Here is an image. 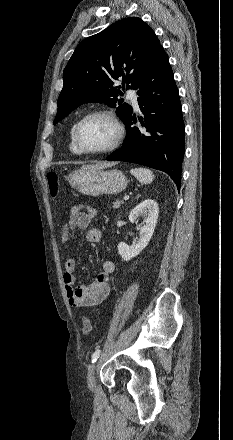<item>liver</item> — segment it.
<instances>
[{"mask_svg":"<svg viewBox=\"0 0 233 440\" xmlns=\"http://www.w3.org/2000/svg\"><path fill=\"white\" fill-rule=\"evenodd\" d=\"M114 164L115 163H99V164H96V165H91L90 167L98 168V169H103V168H106V167H111ZM84 167H87V166H84Z\"/></svg>","mask_w":233,"mask_h":440,"instance_id":"6515ba94","label":"liver"}]
</instances>
